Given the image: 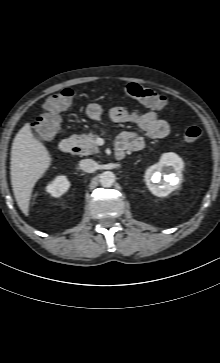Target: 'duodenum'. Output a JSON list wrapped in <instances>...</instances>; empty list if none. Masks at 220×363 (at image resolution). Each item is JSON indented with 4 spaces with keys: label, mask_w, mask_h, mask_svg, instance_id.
<instances>
[{
    "label": "duodenum",
    "mask_w": 220,
    "mask_h": 363,
    "mask_svg": "<svg viewBox=\"0 0 220 363\" xmlns=\"http://www.w3.org/2000/svg\"><path fill=\"white\" fill-rule=\"evenodd\" d=\"M60 150L63 153H67V154H74L79 152V146L78 143L76 141V139L74 138H66L63 139L60 142ZM115 156L118 160H122L125 157V149L122 147H117L115 150Z\"/></svg>",
    "instance_id": "410a0bca"
}]
</instances>
